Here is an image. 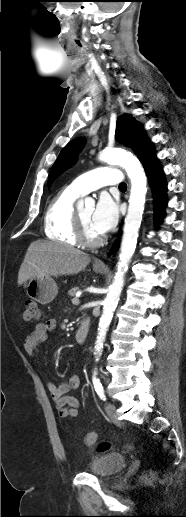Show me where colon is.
<instances>
[{"mask_svg": "<svg viewBox=\"0 0 186 517\" xmlns=\"http://www.w3.org/2000/svg\"><path fill=\"white\" fill-rule=\"evenodd\" d=\"M40 316L38 304L33 300H28L25 302V309L23 312V318L27 321L36 320ZM94 433L90 432L86 435L85 444L92 445L94 443ZM111 448V444L109 442L103 441L99 443L98 450L99 451H107ZM125 448L131 449L130 445H126ZM146 480H153L154 474L150 473L145 476Z\"/></svg>", "mask_w": 186, "mask_h": 517, "instance_id": "1", "label": "colon"}]
</instances>
